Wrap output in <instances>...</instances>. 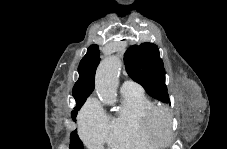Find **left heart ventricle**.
I'll return each instance as SVG.
<instances>
[{"label":"left heart ventricle","mask_w":227,"mask_h":149,"mask_svg":"<svg viewBox=\"0 0 227 149\" xmlns=\"http://www.w3.org/2000/svg\"><path fill=\"white\" fill-rule=\"evenodd\" d=\"M156 127L159 134L163 135L165 132V122L162 117H158L156 120Z\"/></svg>","instance_id":"1"}]
</instances>
